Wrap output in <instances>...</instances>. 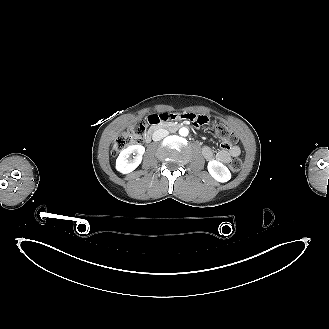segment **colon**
<instances>
[{
	"label": "colon",
	"mask_w": 329,
	"mask_h": 329,
	"mask_svg": "<svg viewBox=\"0 0 329 329\" xmlns=\"http://www.w3.org/2000/svg\"><path fill=\"white\" fill-rule=\"evenodd\" d=\"M214 126H215L216 135L222 141L224 146H231L232 144L237 142V136L230 128H228L223 124H215ZM146 128H147L146 122H139L138 124L124 131L118 137V139L114 144L113 155L115 156L126 147L138 143L142 139L146 131ZM241 164H242L241 160L238 157H233L229 161L228 167L231 171L237 172L240 170Z\"/></svg>",
	"instance_id": "1"
}]
</instances>
